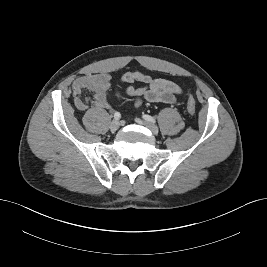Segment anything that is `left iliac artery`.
I'll return each instance as SVG.
<instances>
[{"mask_svg":"<svg viewBox=\"0 0 267 267\" xmlns=\"http://www.w3.org/2000/svg\"><path fill=\"white\" fill-rule=\"evenodd\" d=\"M143 118L148 122L156 123V120L150 115L145 114V115H143Z\"/></svg>","mask_w":267,"mask_h":267,"instance_id":"1","label":"left iliac artery"}]
</instances>
